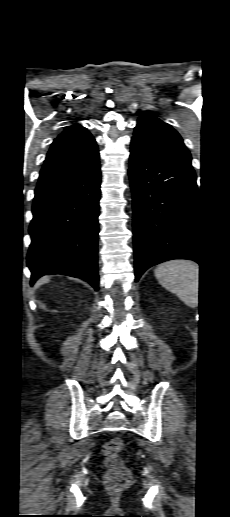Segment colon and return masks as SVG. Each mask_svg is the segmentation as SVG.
<instances>
[{
  "mask_svg": "<svg viewBox=\"0 0 230 517\" xmlns=\"http://www.w3.org/2000/svg\"><path fill=\"white\" fill-rule=\"evenodd\" d=\"M123 448L124 442L118 437L110 439L102 448L104 462L107 467L105 484L108 490L113 492L122 490L131 480L129 469L119 457Z\"/></svg>",
  "mask_w": 230,
  "mask_h": 517,
  "instance_id": "5ec220e1",
  "label": "colon"
}]
</instances>
